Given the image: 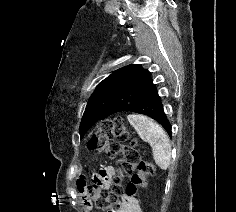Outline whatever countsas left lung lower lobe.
<instances>
[{
    "label": "left lung lower lobe",
    "instance_id": "1",
    "mask_svg": "<svg viewBox=\"0 0 236 212\" xmlns=\"http://www.w3.org/2000/svg\"><path fill=\"white\" fill-rule=\"evenodd\" d=\"M117 112H135L147 115L158 121L171 137V125L164 113L162 101L153 84L151 73L140 65L99 119L107 118Z\"/></svg>",
    "mask_w": 236,
    "mask_h": 212
}]
</instances>
